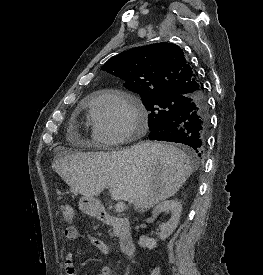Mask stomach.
<instances>
[{"instance_id": "obj_1", "label": "stomach", "mask_w": 263, "mask_h": 275, "mask_svg": "<svg viewBox=\"0 0 263 275\" xmlns=\"http://www.w3.org/2000/svg\"><path fill=\"white\" fill-rule=\"evenodd\" d=\"M79 208L86 214L98 218L101 213V206L98 200L83 196L79 200Z\"/></svg>"}]
</instances>
